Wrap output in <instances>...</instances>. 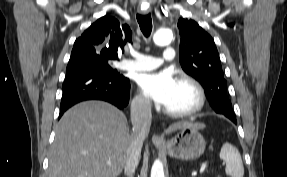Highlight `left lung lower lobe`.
<instances>
[{"instance_id":"0a47b994","label":"left lung lower lobe","mask_w":287,"mask_h":177,"mask_svg":"<svg viewBox=\"0 0 287 177\" xmlns=\"http://www.w3.org/2000/svg\"><path fill=\"white\" fill-rule=\"evenodd\" d=\"M213 109L216 111V109L214 107H213ZM217 113L223 114L222 112H217ZM223 115H225V114H223ZM225 116L228 117L230 120H232L234 123H237L235 116H231V115H225Z\"/></svg>"}]
</instances>
